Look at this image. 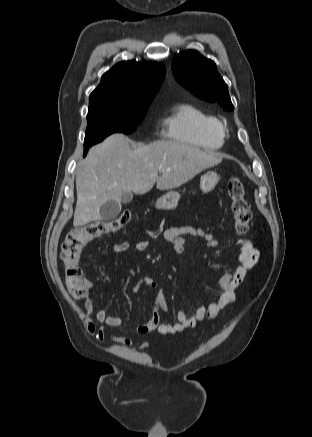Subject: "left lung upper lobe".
<instances>
[{
    "label": "left lung upper lobe",
    "mask_w": 312,
    "mask_h": 437,
    "mask_svg": "<svg viewBox=\"0 0 312 437\" xmlns=\"http://www.w3.org/2000/svg\"><path fill=\"white\" fill-rule=\"evenodd\" d=\"M175 79L195 96L218 102L225 110H233L228 86L219 75L216 64L197 51H184L173 57Z\"/></svg>",
    "instance_id": "5c2ea615"
}]
</instances>
